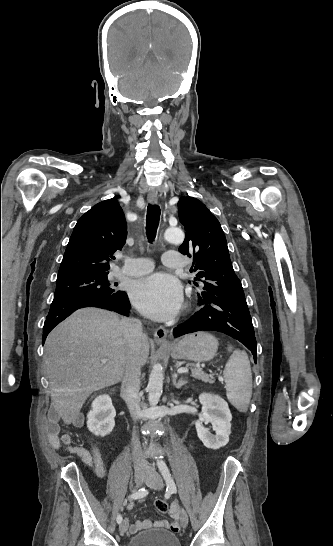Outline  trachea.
<instances>
[{
  "label": "trachea",
  "instance_id": "obj_1",
  "mask_svg": "<svg viewBox=\"0 0 333 546\" xmlns=\"http://www.w3.org/2000/svg\"><path fill=\"white\" fill-rule=\"evenodd\" d=\"M160 219V207L157 205L149 204L147 207V216H146V233L150 241H153L158 224Z\"/></svg>",
  "mask_w": 333,
  "mask_h": 546
}]
</instances>
